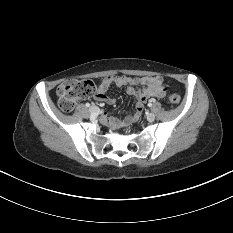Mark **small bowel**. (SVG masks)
<instances>
[{
	"label": "small bowel",
	"instance_id": "c3829d8e",
	"mask_svg": "<svg viewBox=\"0 0 233 233\" xmlns=\"http://www.w3.org/2000/svg\"><path fill=\"white\" fill-rule=\"evenodd\" d=\"M118 87L127 86V94L134 96L137 99V104L132 115L124 119V123L136 121L143 109L146 101L149 98H162L165 95V88L163 86V79L160 76L150 77H131L126 75H110L105 77L94 95L97 101L105 102L107 104H114L115 99L107 95V91L111 85ZM102 120L108 126H116V121L107 116L102 115Z\"/></svg>",
	"mask_w": 233,
	"mask_h": 233
}]
</instances>
